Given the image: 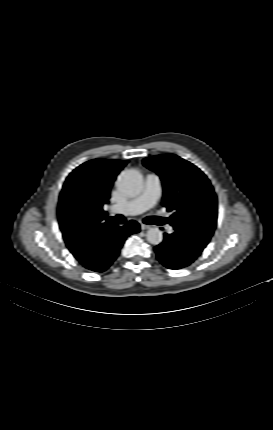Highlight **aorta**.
Segmentation results:
<instances>
[{
  "mask_svg": "<svg viewBox=\"0 0 273 430\" xmlns=\"http://www.w3.org/2000/svg\"><path fill=\"white\" fill-rule=\"evenodd\" d=\"M118 189L128 196L137 195L143 186V175L135 169L124 170L117 179ZM147 241L153 245H158L163 240L162 232L159 228H150L146 234Z\"/></svg>",
  "mask_w": 273,
  "mask_h": 430,
  "instance_id": "1",
  "label": "aorta"
}]
</instances>
